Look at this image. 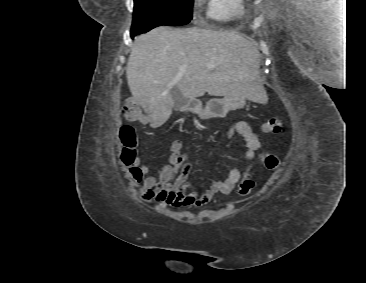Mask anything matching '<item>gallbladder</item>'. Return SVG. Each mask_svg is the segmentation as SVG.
Masks as SVG:
<instances>
[{
  "label": "gallbladder",
  "mask_w": 366,
  "mask_h": 283,
  "mask_svg": "<svg viewBox=\"0 0 366 283\" xmlns=\"http://www.w3.org/2000/svg\"><path fill=\"white\" fill-rule=\"evenodd\" d=\"M170 94L175 102L174 109L175 110L181 109L186 101L181 91L177 87H173L170 90Z\"/></svg>",
  "instance_id": "1"
}]
</instances>
